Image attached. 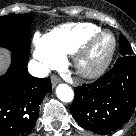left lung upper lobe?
Segmentation results:
<instances>
[{
	"instance_id": "obj_1",
	"label": "left lung upper lobe",
	"mask_w": 136,
	"mask_h": 136,
	"mask_svg": "<svg viewBox=\"0 0 136 136\" xmlns=\"http://www.w3.org/2000/svg\"><path fill=\"white\" fill-rule=\"evenodd\" d=\"M119 41H120V53H121V56L133 55L134 54L131 46L129 45L127 39L124 36L121 35L119 37Z\"/></svg>"
}]
</instances>
